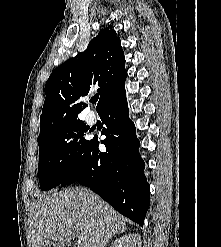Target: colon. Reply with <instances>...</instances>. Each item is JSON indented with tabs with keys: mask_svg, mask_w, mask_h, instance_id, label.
Masks as SVG:
<instances>
[{
	"mask_svg": "<svg viewBox=\"0 0 221 247\" xmlns=\"http://www.w3.org/2000/svg\"><path fill=\"white\" fill-rule=\"evenodd\" d=\"M46 247H66V245L59 243H50Z\"/></svg>",
	"mask_w": 221,
	"mask_h": 247,
	"instance_id": "obj_1",
	"label": "colon"
}]
</instances>
